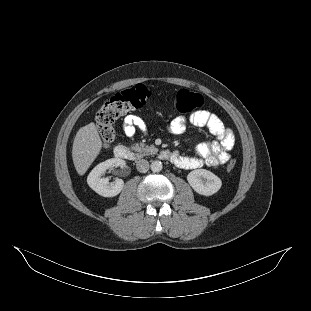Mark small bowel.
I'll return each instance as SVG.
<instances>
[{"label": "small bowel", "instance_id": "c3829d8e", "mask_svg": "<svg viewBox=\"0 0 311 311\" xmlns=\"http://www.w3.org/2000/svg\"><path fill=\"white\" fill-rule=\"evenodd\" d=\"M188 124L207 128L215 140L198 144L195 148V156L175 154L173 163L176 166L183 169H197L204 165L217 167L229 160L230 151L235 144L234 134L217 115L206 110H199L188 117L174 118L168 129L170 133L179 135L185 131ZM145 127L143 119L136 115H128L123 120V131L129 138H132L138 129L144 131Z\"/></svg>", "mask_w": 311, "mask_h": 311}]
</instances>
